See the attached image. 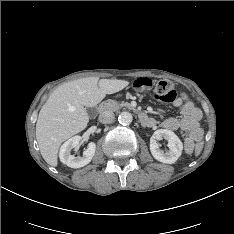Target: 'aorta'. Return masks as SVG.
<instances>
[{"mask_svg":"<svg viewBox=\"0 0 234 234\" xmlns=\"http://www.w3.org/2000/svg\"><path fill=\"white\" fill-rule=\"evenodd\" d=\"M132 120V114L129 112H122L118 117V121L122 125H129L131 124Z\"/></svg>","mask_w":234,"mask_h":234,"instance_id":"obj_1","label":"aorta"}]
</instances>
